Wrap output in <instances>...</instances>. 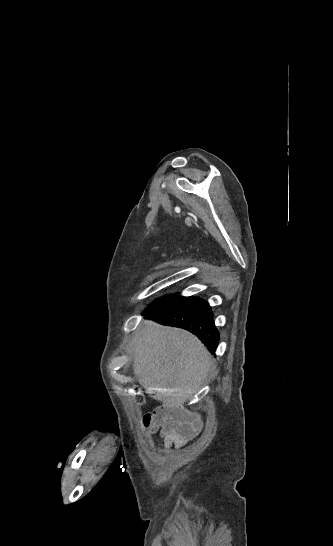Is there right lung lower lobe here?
I'll return each instance as SVG.
<instances>
[{"mask_svg": "<svg viewBox=\"0 0 333 546\" xmlns=\"http://www.w3.org/2000/svg\"><path fill=\"white\" fill-rule=\"evenodd\" d=\"M144 314L163 325L190 331L202 340L212 354L218 346L219 333L214 327L213 312L203 299L178 298L145 311Z\"/></svg>", "mask_w": 333, "mask_h": 546, "instance_id": "1", "label": "right lung lower lobe"}]
</instances>
